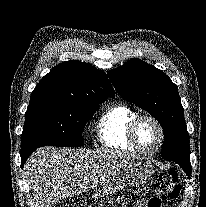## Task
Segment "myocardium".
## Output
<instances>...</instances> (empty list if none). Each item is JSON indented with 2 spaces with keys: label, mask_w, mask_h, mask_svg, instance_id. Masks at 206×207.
Here are the masks:
<instances>
[{
  "label": "myocardium",
  "mask_w": 206,
  "mask_h": 207,
  "mask_svg": "<svg viewBox=\"0 0 206 207\" xmlns=\"http://www.w3.org/2000/svg\"><path fill=\"white\" fill-rule=\"evenodd\" d=\"M143 120H149L153 122L159 130L160 140L158 142V145L152 150H147V149L142 148L137 139V128ZM128 139H129L130 144L139 153L144 154V155H154L163 147L165 143V139H166V134H165V130H164L162 123L156 117L152 115H148V114H143V115H138L130 123L128 127Z\"/></svg>",
  "instance_id": "1"
}]
</instances>
